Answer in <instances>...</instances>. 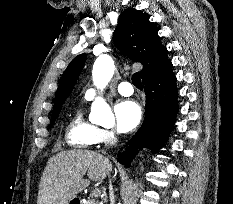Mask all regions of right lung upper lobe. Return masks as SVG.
I'll return each instance as SVG.
<instances>
[{
	"label": "right lung upper lobe",
	"mask_w": 233,
	"mask_h": 204,
	"mask_svg": "<svg viewBox=\"0 0 233 204\" xmlns=\"http://www.w3.org/2000/svg\"><path fill=\"white\" fill-rule=\"evenodd\" d=\"M113 40L124 55L134 62L143 64L140 71L142 78L170 63L167 49L161 44L157 34V28L149 21V17L139 10L127 9L120 14ZM85 59V54L78 55L66 68L55 97L52 118L58 116L62 104L84 67Z\"/></svg>",
	"instance_id": "1"
}]
</instances>
